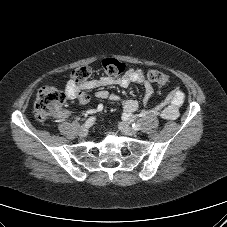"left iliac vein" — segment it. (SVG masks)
<instances>
[{
	"label": "left iliac vein",
	"mask_w": 227,
	"mask_h": 227,
	"mask_svg": "<svg viewBox=\"0 0 227 227\" xmlns=\"http://www.w3.org/2000/svg\"><path fill=\"white\" fill-rule=\"evenodd\" d=\"M119 129L125 134V135H128V136H134L137 134V131L130 127L129 125H127L126 123L124 122H120L119 123Z\"/></svg>",
	"instance_id": "4c4485c4"
}]
</instances>
